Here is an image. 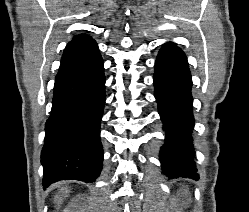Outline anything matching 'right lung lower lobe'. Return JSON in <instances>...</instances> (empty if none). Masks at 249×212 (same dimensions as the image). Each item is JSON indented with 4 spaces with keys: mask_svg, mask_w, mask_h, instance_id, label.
<instances>
[{
    "mask_svg": "<svg viewBox=\"0 0 249 212\" xmlns=\"http://www.w3.org/2000/svg\"><path fill=\"white\" fill-rule=\"evenodd\" d=\"M104 63L99 53L58 72L41 154L43 186L59 180L94 182L102 169L100 122L105 104Z\"/></svg>",
    "mask_w": 249,
    "mask_h": 212,
    "instance_id": "obj_1",
    "label": "right lung lower lobe"
}]
</instances>
